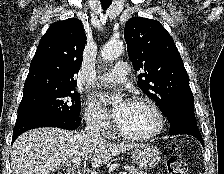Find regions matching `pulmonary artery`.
<instances>
[{"instance_id": "1", "label": "pulmonary artery", "mask_w": 224, "mask_h": 174, "mask_svg": "<svg viewBox=\"0 0 224 174\" xmlns=\"http://www.w3.org/2000/svg\"><path fill=\"white\" fill-rule=\"evenodd\" d=\"M128 65L124 62L116 64V66L98 77L101 84H122L127 81Z\"/></svg>"}]
</instances>
